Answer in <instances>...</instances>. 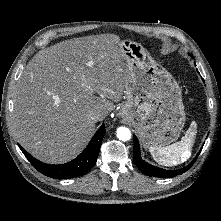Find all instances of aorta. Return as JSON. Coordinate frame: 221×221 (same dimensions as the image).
Wrapping results in <instances>:
<instances>
[{"label":"aorta","mask_w":221,"mask_h":221,"mask_svg":"<svg viewBox=\"0 0 221 221\" xmlns=\"http://www.w3.org/2000/svg\"><path fill=\"white\" fill-rule=\"evenodd\" d=\"M117 137L121 141H129L131 139V131L127 127H119L117 129Z\"/></svg>","instance_id":"1"}]
</instances>
